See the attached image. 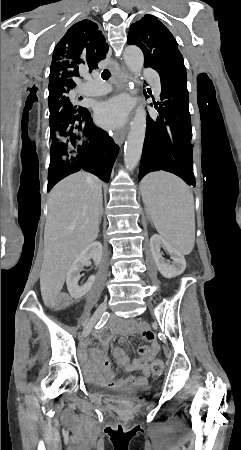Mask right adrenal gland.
I'll use <instances>...</instances> for the list:
<instances>
[{"label": "right adrenal gland", "mask_w": 241, "mask_h": 450, "mask_svg": "<svg viewBox=\"0 0 241 450\" xmlns=\"http://www.w3.org/2000/svg\"><path fill=\"white\" fill-rule=\"evenodd\" d=\"M102 214H103V212H102ZM102 214H100V216H99V224H100V222H101V216H102Z\"/></svg>", "instance_id": "obj_1"}]
</instances>
